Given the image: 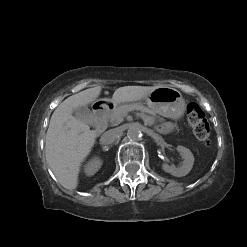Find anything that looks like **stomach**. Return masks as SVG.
<instances>
[{
    "label": "stomach",
    "instance_id": "0dacf381",
    "mask_svg": "<svg viewBox=\"0 0 247 247\" xmlns=\"http://www.w3.org/2000/svg\"><path fill=\"white\" fill-rule=\"evenodd\" d=\"M148 107L163 117L178 120L183 117L186 109L185 100L175 88L161 86L143 98ZM116 106L118 103L111 100Z\"/></svg>",
    "mask_w": 247,
    "mask_h": 247
}]
</instances>
